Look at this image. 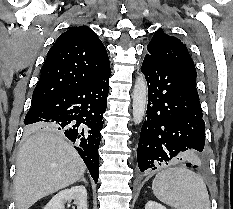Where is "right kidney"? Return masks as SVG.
<instances>
[{
  "instance_id": "1",
  "label": "right kidney",
  "mask_w": 233,
  "mask_h": 209,
  "mask_svg": "<svg viewBox=\"0 0 233 209\" xmlns=\"http://www.w3.org/2000/svg\"><path fill=\"white\" fill-rule=\"evenodd\" d=\"M72 200L77 209H88L86 188L78 185L62 190L47 203L44 209H65L64 204Z\"/></svg>"
}]
</instances>
